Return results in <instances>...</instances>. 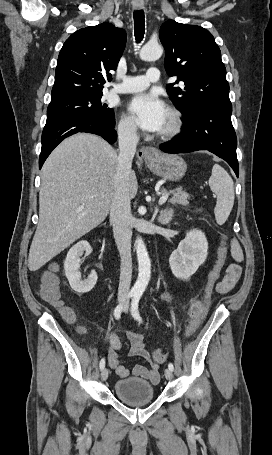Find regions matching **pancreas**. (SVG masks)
Returning a JSON list of instances; mask_svg holds the SVG:
<instances>
[{"label": "pancreas", "instance_id": "pancreas-1", "mask_svg": "<svg viewBox=\"0 0 272 455\" xmlns=\"http://www.w3.org/2000/svg\"><path fill=\"white\" fill-rule=\"evenodd\" d=\"M166 191H164V194ZM172 197L169 199L171 204H180V205H188L190 196L187 192L183 191L181 188H177L175 190L170 191Z\"/></svg>", "mask_w": 272, "mask_h": 455}]
</instances>
